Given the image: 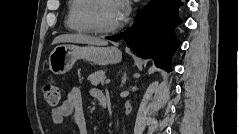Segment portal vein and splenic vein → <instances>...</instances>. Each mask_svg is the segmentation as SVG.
<instances>
[{
  "label": "portal vein and splenic vein",
  "mask_w": 239,
  "mask_h": 134,
  "mask_svg": "<svg viewBox=\"0 0 239 134\" xmlns=\"http://www.w3.org/2000/svg\"><path fill=\"white\" fill-rule=\"evenodd\" d=\"M110 82H111L110 79H106V81H105L106 84H109Z\"/></svg>",
  "instance_id": "1"
}]
</instances>
